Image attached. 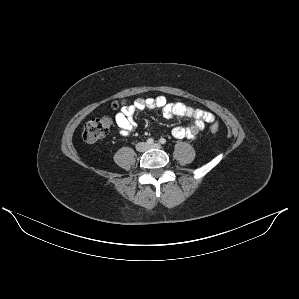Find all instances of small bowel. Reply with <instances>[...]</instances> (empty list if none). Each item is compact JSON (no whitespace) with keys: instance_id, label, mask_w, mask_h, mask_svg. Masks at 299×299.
<instances>
[{"instance_id":"small-bowel-1","label":"small bowel","mask_w":299,"mask_h":299,"mask_svg":"<svg viewBox=\"0 0 299 299\" xmlns=\"http://www.w3.org/2000/svg\"><path fill=\"white\" fill-rule=\"evenodd\" d=\"M160 108L167 118L172 116L192 119L188 126H177L172 129L175 138H196L204 130L206 124L213 123L215 116L205 110L195 109L182 103H170L165 96L155 98H139L132 105L122 108L116 115V123L122 136H130L135 128L134 116L145 109Z\"/></svg>"}]
</instances>
